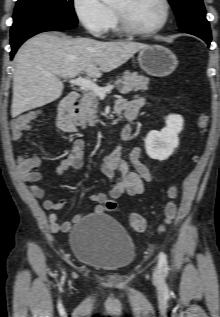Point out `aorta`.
I'll use <instances>...</instances> for the list:
<instances>
[{
	"label": "aorta",
	"instance_id": "1",
	"mask_svg": "<svg viewBox=\"0 0 220 317\" xmlns=\"http://www.w3.org/2000/svg\"><path fill=\"white\" fill-rule=\"evenodd\" d=\"M104 3L106 4H110V3H113L115 2L116 0H102Z\"/></svg>",
	"mask_w": 220,
	"mask_h": 317
}]
</instances>
